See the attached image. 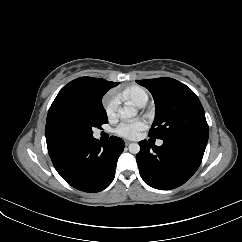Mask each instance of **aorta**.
I'll list each match as a JSON object with an SVG mask.
<instances>
[{"mask_svg":"<svg viewBox=\"0 0 242 242\" xmlns=\"http://www.w3.org/2000/svg\"><path fill=\"white\" fill-rule=\"evenodd\" d=\"M119 115L122 119L133 118L137 115V109L131 105H126L119 110ZM128 148L132 154H137L140 151V145L138 143H131Z\"/></svg>","mask_w":242,"mask_h":242,"instance_id":"1","label":"aorta"}]
</instances>
